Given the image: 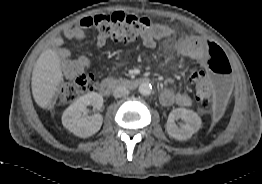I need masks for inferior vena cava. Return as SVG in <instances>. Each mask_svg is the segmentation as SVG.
I'll return each instance as SVG.
<instances>
[{
	"label": "inferior vena cava",
	"mask_w": 262,
	"mask_h": 184,
	"mask_svg": "<svg viewBox=\"0 0 262 184\" xmlns=\"http://www.w3.org/2000/svg\"><path fill=\"white\" fill-rule=\"evenodd\" d=\"M129 94V90L125 86H118L113 91V96L115 98H120L127 96Z\"/></svg>",
	"instance_id": "602c4592"
}]
</instances>
